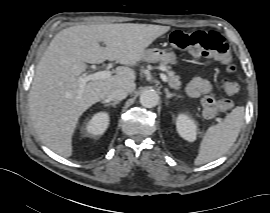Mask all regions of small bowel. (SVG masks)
I'll list each match as a JSON object with an SVG mask.
<instances>
[{
	"instance_id": "c3829d8e",
	"label": "small bowel",
	"mask_w": 270,
	"mask_h": 213,
	"mask_svg": "<svg viewBox=\"0 0 270 213\" xmlns=\"http://www.w3.org/2000/svg\"><path fill=\"white\" fill-rule=\"evenodd\" d=\"M210 89L209 82L201 77L194 78L186 88L188 95L198 97Z\"/></svg>"
}]
</instances>
